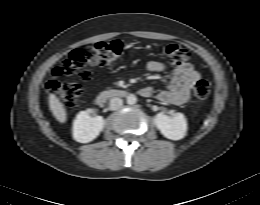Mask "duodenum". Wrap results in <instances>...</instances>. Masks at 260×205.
I'll return each instance as SVG.
<instances>
[{
	"instance_id": "1",
	"label": "duodenum",
	"mask_w": 260,
	"mask_h": 205,
	"mask_svg": "<svg viewBox=\"0 0 260 205\" xmlns=\"http://www.w3.org/2000/svg\"><path fill=\"white\" fill-rule=\"evenodd\" d=\"M126 96H127V92L124 90L110 89V90H106V91H103L100 94H98L96 97V102L98 104H102L108 99L121 98V97H126Z\"/></svg>"
}]
</instances>
